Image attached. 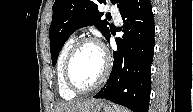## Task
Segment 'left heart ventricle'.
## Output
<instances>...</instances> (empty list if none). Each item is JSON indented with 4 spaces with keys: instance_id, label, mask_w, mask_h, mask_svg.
Instances as JSON below:
<instances>
[{
    "instance_id": "b2bd125f",
    "label": "left heart ventricle",
    "mask_w": 193,
    "mask_h": 112,
    "mask_svg": "<svg viewBox=\"0 0 193 112\" xmlns=\"http://www.w3.org/2000/svg\"><path fill=\"white\" fill-rule=\"evenodd\" d=\"M104 66L102 51L95 44L82 46L71 63V77L80 88L93 85L100 77Z\"/></svg>"
}]
</instances>
